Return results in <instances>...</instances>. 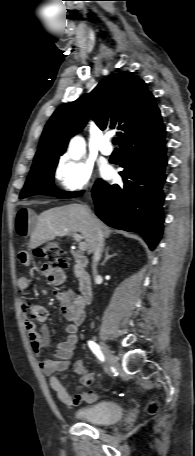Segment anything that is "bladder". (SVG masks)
Instances as JSON below:
<instances>
[{"label": "bladder", "mask_w": 195, "mask_h": 456, "mask_svg": "<svg viewBox=\"0 0 195 456\" xmlns=\"http://www.w3.org/2000/svg\"><path fill=\"white\" fill-rule=\"evenodd\" d=\"M122 415V407L113 401H99L75 412L76 418L93 425L116 423L122 418Z\"/></svg>", "instance_id": "obj_1"}]
</instances>
